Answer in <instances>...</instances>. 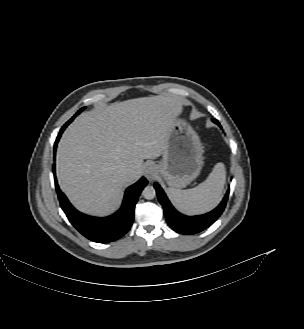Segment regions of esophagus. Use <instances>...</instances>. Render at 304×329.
I'll use <instances>...</instances> for the list:
<instances>
[{
    "label": "esophagus",
    "mask_w": 304,
    "mask_h": 329,
    "mask_svg": "<svg viewBox=\"0 0 304 329\" xmlns=\"http://www.w3.org/2000/svg\"><path fill=\"white\" fill-rule=\"evenodd\" d=\"M145 177L148 180H153L157 176V170L154 165H148L144 171Z\"/></svg>",
    "instance_id": "obj_1"
}]
</instances>
